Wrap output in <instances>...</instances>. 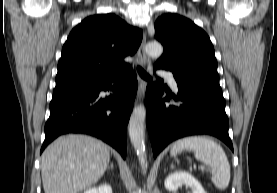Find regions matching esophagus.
I'll return each instance as SVG.
<instances>
[{
	"instance_id": "1",
	"label": "esophagus",
	"mask_w": 277,
	"mask_h": 193,
	"mask_svg": "<svg viewBox=\"0 0 277 193\" xmlns=\"http://www.w3.org/2000/svg\"><path fill=\"white\" fill-rule=\"evenodd\" d=\"M145 44H146V36L144 34L141 45H140L139 50H138V58H139L140 64L144 67H146L147 62H148V57L145 53ZM145 90H146V83L144 81H141L140 86H139V90H138V94H137V102L144 99Z\"/></svg>"
}]
</instances>
